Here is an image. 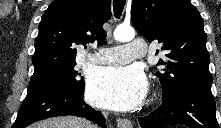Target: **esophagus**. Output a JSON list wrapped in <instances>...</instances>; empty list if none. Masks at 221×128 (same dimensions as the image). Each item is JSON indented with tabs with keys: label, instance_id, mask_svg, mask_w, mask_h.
Listing matches in <instances>:
<instances>
[{
	"label": "esophagus",
	"instance_id": "esophagus-1",
	"mask_svg": "<svg viewBox=\"0 0 221 128\" xmlns=\"http://www.w3.org/2000/svg\"><path fill=\"white\" fill-rule=\"evenodd\" d=\"M117 126L119 128H133L131 121L128 119H118Z\"/></svg>",
	"mask_w": 221,
	"mask_h": 128
}]
</instances>
